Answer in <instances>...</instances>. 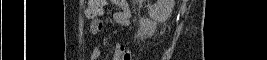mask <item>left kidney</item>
I'll return each instance as SVG.
<instances>
[{
  "instance_id": "1",
  "label": "left kidney",
  "mask_w": 267,
  "mask_h": 60,
  "mask_svg": "<svg viewBox=\"0 0 267 60\" xmlns=\"http://www.w3.org/2000/svg\"><path fill=\"white\" fill-rule=\"evenodd\" d=\"M174 5V0H157L156 3L148 6L149 17L154 24L164 23L170 17Z\"/></svg>"
}]
</instances>
